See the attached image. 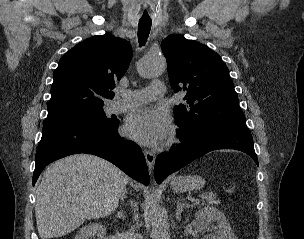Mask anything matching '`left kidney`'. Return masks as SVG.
<instances>
[{"label": "left kidney", "mask_w": 304, "mask_h": 239, "mask_svg": "<svg viewBox=\"0 0 304 239\" xmlns=\"http://www.w3.org/2000/svg\"><path fill=\"white\" fill-rule=\"evenodd\" d=\"M193 226L198 232H204L209 226L216 222L217 226L213 234H209L207 239H237L225 215L214 207L204 208L195 214Z\"/></svg>", "instance_id": "1"}]
</instances>
